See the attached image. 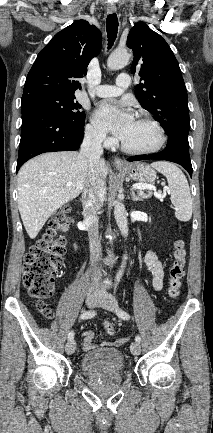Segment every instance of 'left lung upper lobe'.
Returning a JSON list of instances; mask_svg holds the SVG:
<instances>
[{"label": "left lung upper lobe", "mask_w": 213, "mask_h": 433, "mask_svg": "<svg viewBox=\"0 0 213 433\" xmlns=\"http://www.w3.org/2000/svg\"><path fill=\"white\" fill-rule=\"evenodd\" d=\"M133 50L132 72L143 81L135 95L144 109L155 116L168 140L188 143L190 126L187 91L177 59L167 42L145 23H136L127 37Z\"/></svg>", "instance_id": "left-lung-upper-lobe-1"}]
</instances>
